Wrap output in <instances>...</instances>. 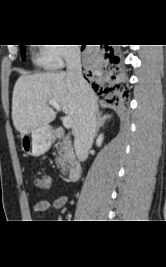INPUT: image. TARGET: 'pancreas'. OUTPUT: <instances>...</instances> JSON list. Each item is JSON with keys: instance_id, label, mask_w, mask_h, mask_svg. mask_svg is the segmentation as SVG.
I'll list each match as a JSON object with an SVG mask.
<instances>
[{"instance_id": "obj_1", "label": "pancreas", "mask_w": 166, "mask_h": 267, "mask_svg": "<svg viewBox=\"0 0 166 267\" xmlns=\"http://www.w3.org/2000/svg\"><path fill=\"white\" fill-rule=\"evenodd\" d=\"M57 151L58 156L56 158V164L61 169L62 174L65 175L75 161L73 148L69 138H63L62 141L57 143Z\"/></svg>"}]
</instances>
